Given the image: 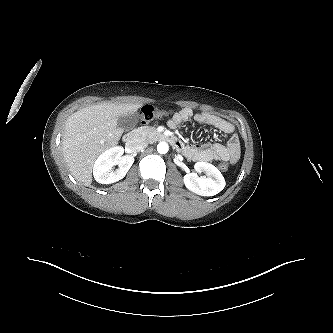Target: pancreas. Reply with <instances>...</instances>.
Here are the masks:
<instances>
[{
    "label": "pancreas",
    "mask_w": 333,
    "mask_h": 333,
    "mask_svg": "<svg viewBox=\"0 0 333 333\" xmlns=\"http://www.w3.org/2000/svg\"><path fill=\"white\" fill-rule=\"evenodd\" d=\"M134 135L136 137L143 138L147 141H153L160 133L155 127L142 126L134 130Z\"/></svg>",
    "instance_id": "pancreas-1"
}]
</instances>
